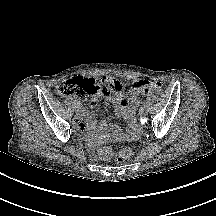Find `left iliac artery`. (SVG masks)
<instances>
[{
  "label": "left iliac artery",
  "instance_id": "obj_1",
  "mask_svg": "<svg viewBox=\"0 0 216 216\" xmlns=\"http://www.w3.org/2000/svg\"><path fill=\"white\" fill-rule=\"evenodd\" d=\"M146 102H147V101L144 99V100L142 101V103H141V106H142V107H145V106H146Z\"/></svg>",
  "mask_w": 216,
  "mask_h": 216
}]
</instances>
